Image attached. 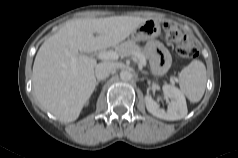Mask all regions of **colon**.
<instances>
[{
  "instance_id": "colon-1",
  "label": "colon",
  "mask_w": 238,
  "mask_h": 158,
  "mask_svg": "<svg viewBox=\"0 0 238 158\" xmlns=\"http://www.w3.org/2000/svg\"><path fill=\"white\" fill-rule=\"evenodd\" d=\"M165 40L174 44L179 56L183 58H195L198 50L193 42L175 25L171 23L163 24Z\"/></svg>"
}]
</instances>
